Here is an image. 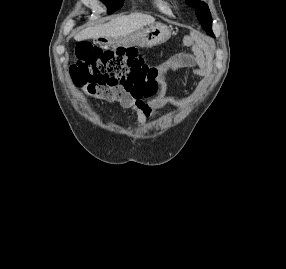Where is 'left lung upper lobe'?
<instances>
[{"label": "left lung upper lobe", "instance_id": "5c2ea615", "mask_svg": "<svg viewBox=\"0 0 286 269\" xmlns=\"http://www.w3.org/2000/svg\"><path fill=\"white\" fill-rule=\"evenodd\" d=\"M186 2L191 6L196 8V15L198 20L202 23L203 29L211 36L214 37L212 31V17L209 11L208 5L200 0H186Z\"/></svg>", "mask_w": 286, "mask_h": 269}]
</instances>
